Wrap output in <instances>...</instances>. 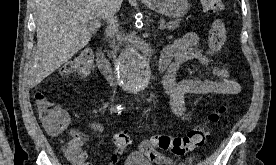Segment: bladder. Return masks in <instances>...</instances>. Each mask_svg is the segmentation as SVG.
Wrapping results in <instances>:
<instances>
[{"instance_id":"1","label":"bladder","mask_w":276,"mask_h":165,"mask_svg":"<svg viewBox=\"0 0 276 165\" xmlns=\"http://www.w3.org/2000/svg\"><path fill=\"white\" fill-rule=\"evenodd\" d=\"M124 165H153L147 158L140 154H131Z\"/></svg>"}]
</instances>
